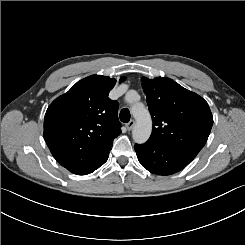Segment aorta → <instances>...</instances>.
Wrapping results in <instances>:
<instances>
[{
    "label": "aorta",
    "mask_w": 245,
    "mask_h": 245,
    "mask_svg": "<svg viewBox=\"0 0 245 245\" xmlns=\"http://www.w3.org/2000/svg\"><path fill=\"white\" fill-rule=\"evenodd\" d=\"M132 115L136 120L133 127L132 137L135 143L142 144L146 142L152 131V120L149 111L142 105H133Z\"/></svg>",
    "instance_id": "obj_1"
}]
</instances>
